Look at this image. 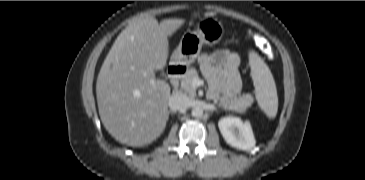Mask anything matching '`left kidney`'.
<instances>
[{
  "label": "left kidney",
  "mask_w": 365,
  "mask_h": 180,
  "mask_svg": "<svg viewBox=\"0 0 365 180\" xmlns=\"http://www.w3.org/2000/svg\"><path fill=\"white\" fill-rule=\"evenodd\" d=\"M219 130L225 141L240 150H250L255 145V138L249 122L238 117H224L218 122Z\"/></svg>",
  "instance_id": "left-kidney-1"
}]
</instances>
